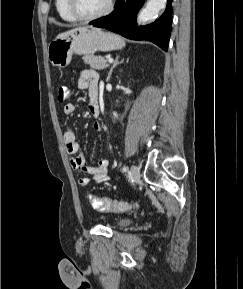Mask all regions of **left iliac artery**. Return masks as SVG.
I'll return each mask as SVG.
<instances>
[{"mask_svg": "<svg viewBox=\"0 0 243 289\" xmlns=\"http://www.w3.org/2000/svg\"><path fill=\"white\" fill-rule=\"evenodd\" d=\"M123 171H124V172H127V171H128V167H127V166H124V167H123Z\"/></svg>", "mask_w": 243, "mask_h": 289, "instance_id": "44dca946", "label": "left iliac artery"}]
</instances>
